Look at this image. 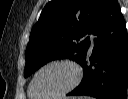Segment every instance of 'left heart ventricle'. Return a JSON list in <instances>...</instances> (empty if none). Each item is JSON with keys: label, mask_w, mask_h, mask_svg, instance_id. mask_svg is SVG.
Instances as JSON below:
<instances>
[{"label": "left heart ventricle", "mask_w": 128, "mask_h": 99, "mask_svg": "<svg viewBox=\"0 0 128 99\" xmlns=\"http://www.w3.org/2000/svg\"><path fill=\"white\" fill-rule=\"evenodd\" d=\"M74 76V71L67 65L49 67L38 75L33 93L37 96L54 95L67 88L73 82Z\"/></svg>", "instance_id": "1"}]
</instances>
